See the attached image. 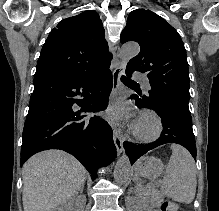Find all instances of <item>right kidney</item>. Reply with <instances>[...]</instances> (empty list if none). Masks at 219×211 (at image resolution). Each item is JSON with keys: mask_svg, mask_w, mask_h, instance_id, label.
Returning <instances> with one entry per match:
<instances>
[{"mask_svg": "<svg viewBox=\"0 0 219 211\" xmlns=\"http://www.w3.org/2000/svg\"><path fill=\"white\" fill-rule=\"evenodd\" d=\"M70 205H75V207H79V203H77V201H73V199H69L67 203H64V205H61V207H59L58 211H67ZM75 207H73V211H76Z\"/></svg>", "mask_w": 219, "mask_h": 211, "instance_id": "obj_1", "label": "right kidney"}]
</instances>
